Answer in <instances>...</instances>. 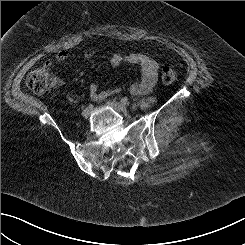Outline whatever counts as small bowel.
I'll list each match as a JSON object with an SVG mask.
<instances>
[{
  "label": "small bowel",
  "instance_id": "obj_1",
  "mask_svg": "<svg viewBox=\"0 0 245 245\" xmlns=\"http://www.w3.org/2000/svg\"><path fill=\"white\" fill-rule=\"evenodd\" d=\"M91 52H87L85 54L86 58L92 57ZM67 58V53L64 51H60L55 55L56 62H62ZM110 62L114 66H118L120 64H124L127 66H139L141 69V79L132 84L129 87V92L132 95H142L151 92L156 84L157 75L159 70V64L153 58L146 54L142 53H130L126 55H122L119 53H113L110 56ZM51 61L47 60L44 62V66H51ZM90 96L95 101H103L106 98L118 93L120 91L119 88H114L110 90L99 91L96 84H91L90 88Z\"/></svg>",
  "mask_w": 245,
  "mask_h": 245
}]
</instances>
